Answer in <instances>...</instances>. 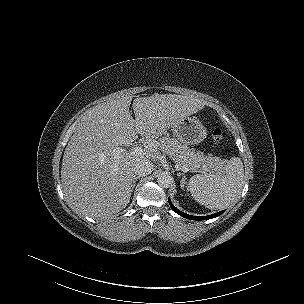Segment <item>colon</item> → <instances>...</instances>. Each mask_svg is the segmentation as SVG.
Instances as JSON below:
<instances>
[{
    "instance_id": "5ec220e1",
    "label": "colon",
    "mask_w": 304,
    "mask_h": 304,
    "mask_svg": "<svg viewBox=\"0 0 304 304\" xmlns=\"http://www.w3.org/2000/svg\"><path fill=\"white\" fill-rule=\"evenodd\" d=\"M214 139L216 142H219L222 139V131L221 129H217L214 132Z\"/></svg>"
}]
</instances>
